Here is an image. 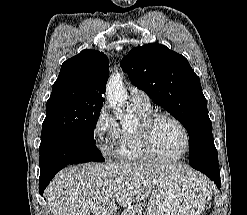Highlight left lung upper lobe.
Masks as SVG:
<instances>
[{
    "label": "left lung upper lobe",
    "mask_w": 247,
    "mask_h": 215,
    "mask_svg": "<svg viewBox=\"0 0 247 215\" xmlns=\"http://www.w3.org/2000/svg\"><path fill=\"white\" fill-rule=\"evenodd\" d=\"M120 65L133 85L183 124L190 138L189 153L204 141L213 143L207 101L184 56L161 44H146L133 48Z\"/></svg>",
    "instance_id": "left-lung-upper-lobe-1"
}]
</instances>
